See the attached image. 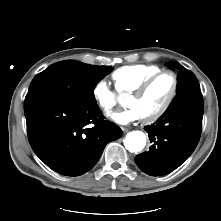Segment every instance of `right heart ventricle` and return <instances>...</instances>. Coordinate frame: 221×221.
Returning <instances> with one entry per match:
<instances>
[{
  "label": "right heart ventricle",
  "instance_id": "obj_1",
  "mask_svg": "<svg viewBox=\"0 0 221 221\" xmlns=\"http://www.w3.org/2000/svg\"><path fill=\"white\" fill-rule=\"evenodd\" d=\"M161 69L154 65H128L113 72L112 78L119 92L131 93L146 79Z\"/></svg>",
  "mask_w": 221,
  "mask_h": 221
}]
</instances>
